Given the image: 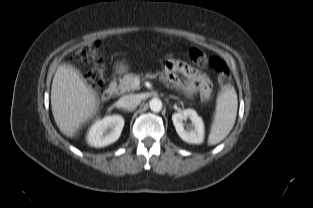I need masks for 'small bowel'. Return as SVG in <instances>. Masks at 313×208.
<instances>
[{"label":"small bowel","mask_w":313,"mask_h":208,"mask_svg":"<svg viewBox=\"0 0 313 208\" xmlns=\"http://www.w3.org/2000/svg\"><path fill=\"white\" fill-rule=\"evenodd\" d=\"M169 80L187 95L199 93L204 100L210 98L212 85L209 78L199 70L192 68L182 61L168 60L165 66ZM178 74L183 75L186 80L182 82Z\"/></svg>","instance_id":"small-bowel-1"}]
</instances>
